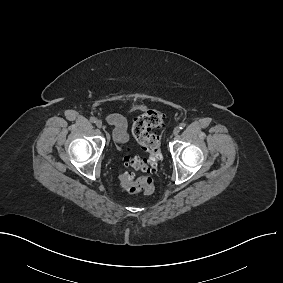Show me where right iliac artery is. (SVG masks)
<instances>
[{"mask_svg": "<svg viewBox=\"0 0 283 283\" xmlns=\"http://www.w3.org/2000/svg\"><path fill=\"white\" fill-rule=\"evenodd\" d=\"M90 121H91L92 123H96L97 119H96L95 117H91V118H90Z\"/></svg>", "mask_w": 283, "mask_h": 283, "instance_id": "right-iliac-artery-1", "label": "right iliac artery"}]
</instances>
